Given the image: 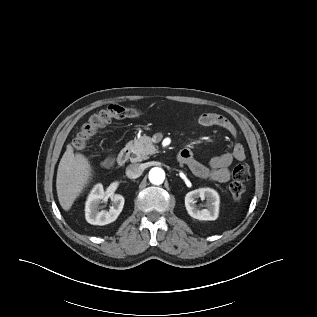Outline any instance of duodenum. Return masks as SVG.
<instances>
[{
  "label": "duodenum",
  "mask_w": 317,
  "mask_h": 317,
  "mask_svg": "<svg viewBox=\"0 0 317 317\" xmlns=\"http://www.w3.org/2000/svg\"><path fill=\"white\" fill-rule=\"evenodd\" d=\"M129 154H130V149L127 146L122 148L116 157V163L118 165H123L124 163H126V161L129 158ZM183 157H184V154H183V151H181L178 156V161L181 162ZM113 163H114V159H110L107 161L108 165H111Z\"/></svg>",
  "instance_id": "1"
}]
</instances>
